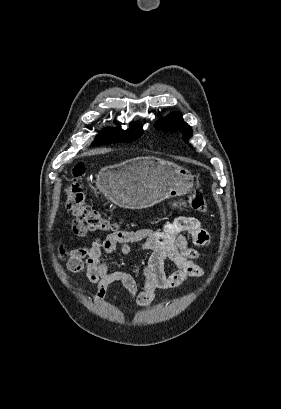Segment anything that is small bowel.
I'll use <instances>...</instances> for the list:
<instances>
[{
    "label": "small bowel",
    "instance_id": "obj_1",
    "mask_svg": "<svg viewBox=\"0 0 281 409\" xmlns=\"http://www.w3.org/2000/svg\"><path fill=\"white\" fill-rule=\"evenodd\" d=\"M73 230L79 236L86 235V228L78 221L73 222ZM190 241L203 247L208 245L210 236L197 218L182 216L160 228L120 230L98 237L89 246L70 251L68 268L84 274L88 282L96 286L97 299H104L109 286L119 282L129 294V303L146 307L154 301L157 290L173 289L190 278L203 276V269L195 262L201 255L200 251L190 247ZM133 246L150 253L142 269L144 283L140 292L137 280L131 273L110 270L103 258L117 249L129 254ZM60 252L65 257L62 246ZM166 261L172 262L178 270L166 273Z\"/></svg>",
    "mask_w": 281,
    "mask_h": 409
}]
</instances>
